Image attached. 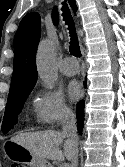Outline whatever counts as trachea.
Masks as SVG:
<instances>
[{
	"label": "trachea",
	"instance_id": "trachea-1",
	"mask_svg": "<svg viewBox=\"0 0 125 167\" xmlns=\"http://www.w3.org/2000/svg\"><path fill=\"white\" fill-rule=\"evenodd\" d=\"M62 11H63L64 21L68 25V29H69V33H70V37H71L69 51H70L71 55H73L75 57H80L81 52H80V48H79L75 24H74V21H73L71 14H70V10L66 4L62 7Z\"/></svg>",
	"mask_w": 125,
	"mask_h": 167
}]
</instances>
